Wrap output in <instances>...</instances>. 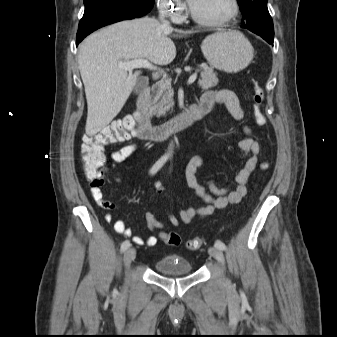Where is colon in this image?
<instances>
[{
  "mask_svg": "<svg viewBox=\"0 0 337 337\" xmlns=\"http://www.w3.org/2000/svg\"><path fill=\"white\" fill-rule=\"evenodd\" d=\"M253 115L257 125L264 126L266 117L264 115L262 105L264 101V89L258 80L253 83ZM134 131V121L132 118H124L112 122L99 132L93 134H85L82 137L80 146L81 159L83 162L84 174L92 186L100 187L104 183L102 167L106 161L104 148L106 146L118 143L126 139ZM262 170L267 168V163L260 165ZM160 237L170 246H177L181 243V237L176 232H161ZM203 244V239L194 237L187 241V248L190 250H198Z\"/></svg>",
  "mask_w": 337,
  "mask_h": 337,
  "instance_id": "colon-1",
  "label": "colon"
}]
</instances>
